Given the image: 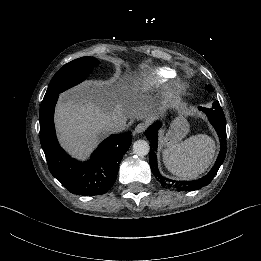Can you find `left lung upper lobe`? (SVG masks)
Here are the masks:
<instances>
[{
	"label": "left lung upper lobe",
	"mask_w": 261,
	"mask_h": 261,
	"mask_svg": "<svg viewBox=\"0 0 261 261\" xmlns=\"http://www.w3.org/2000/svg\"><path fill=\"white\" fill-rule=\"evenodd\" d=\"M206 89L209 90V91L213 90L211 86H208Z\"/></svg>",
	"instance_id": "5c2ea615"
}]
</instances>
